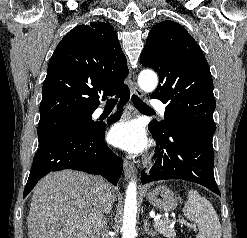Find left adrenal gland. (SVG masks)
<instances>
[{
  "mask_svg": "<svg viewBox=\"0 0 247 238\" xmlns=\"http://www.w3.org/2000/svg\"><path fill=\"white\" fill-rule=\"evenodd\" d=\"M144 231L146 234L155 237L156 233L151 229H149V221L148 218H146V220L144 221Z\"/></svg>",
  "mask_w": 247,
  "mask_h": 238,
  "instance_id": "obj_1",
  "label": "left adrenal gland"
}]
</instances>
